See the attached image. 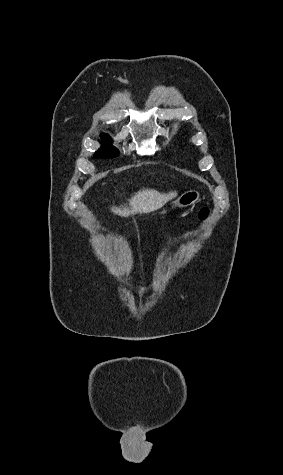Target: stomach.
<instances>
[{
  "label": "stomach",
  "instance_id": "stomach-1",
  "mask_svg": "<svg viewBox=\"0 0 283 475\" xmlns=\"http://www.w3.org/2000/svg\"><path fill=\"white\" fill-rule=\"evenodd\" d=\"M200 200L199 192L196 190H190V192H186V194H182L176 202H173L172 208H187V206H193ZM161 214H167V210H163Z\"/></svg>",
  "mask_w": 283,
  "mask_h": 475
}]
</instances>
